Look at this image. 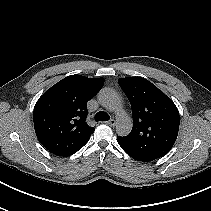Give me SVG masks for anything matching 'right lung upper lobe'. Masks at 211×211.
I'll return each instance as SVG.
<instances>
[{"mask_svg": "<svg viewBox=\"0 0 211 211\" xmlns=\"http://www.w3.org/2000/svg\"><path fill=\"white\" fill-rule=\"evenodd\" d=\"M104 84L103 78L68 76L36 102L34 128L40 143L56 156H70L90 139L95 128L86 123L87 102Z\"/></svg>", "mask_w": 211, "mask_h": 211, "instance_id": "cb5924a9", "label": "right lung upper lobe"}]
</instances>
